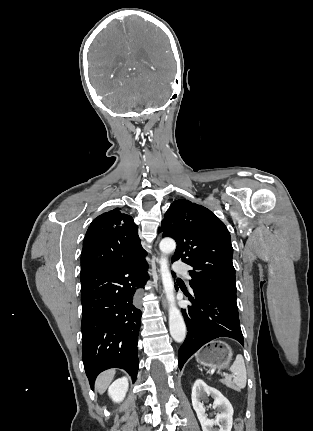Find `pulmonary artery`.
Returning <instances> with one entry per match:
<instances>
[{
  "instance_id": "1",
  "label": "pulmonary artery",
  "mask_w": 313,
  "mask_h": 431,
  "mask_svg": "<svg viewBox=\"0 0 313 431\" xmlns=\"http://www.w3.org/2000/svg\"><path fill=\"white\" fill-rule=\"evenodd\" d=\"M173 270L188 277V268L183 262H175L173 265Z\"/></svg>"
}]
</instances>
